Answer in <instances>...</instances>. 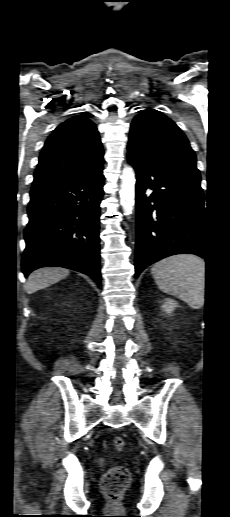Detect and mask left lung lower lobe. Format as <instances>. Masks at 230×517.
I'll return each mask as SVG.
<instances>
[{
  "mask_svg": "<svg viewBox=\"0 0 230 517\" xmlns=\"http://www.w3.org/2000/svg\"><path fill=\"white\" fill-rule=\"evenodd\" d=\"M128 162L137 180L135 277L175 254H196L207 261L200 177L166 170L131 154Z\"/></svg>",
  "mask_w": 230,
  "mask_h": 517,
  "instance_id": "obj_1",
  "label": "left lung lower lobe"
}]
</instances>
